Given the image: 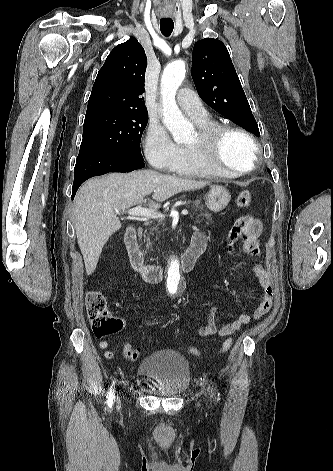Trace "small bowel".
<instances>
[{
    "label": "small bowel",
    "instance_id": "c3829d8e",
    "mask_svg": "<svg viewBox=\"0 0 333 471\" xmlns=\"http://www.w3.org/2000/svg\"><path fill=\"white\" fill-rule=\"evenodd\" d=\"M261 231L262 223L258 219L251 216L240 217L228 234L227 240L229 252L231 254H235L237 252V243L241 240L243 252L248 255L258 257L260 255L258 239ZM192 241H202L206 247L207 237L203 232H197L193 235ZM252 272L257 277L261 287L259 303L253 315L241 314L233 322L227 323L219 328L215 320L216 308L211 307L209 308L206 322L198 329L200 336H230L235 331L250 323L253 319H259L270 310L273 301V286L271 276L264 265L261 263L254 265ZM157 323L158 322L156 321L145 322L146 325H154ZM99 347L104 351L105 357L107 359L113 358L114 352L109 349V343L106 340L100 341Z\"/></svg>",
    "mask_w": 333,
    "mask_h": 471
}]
</instances>
